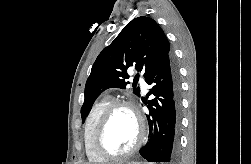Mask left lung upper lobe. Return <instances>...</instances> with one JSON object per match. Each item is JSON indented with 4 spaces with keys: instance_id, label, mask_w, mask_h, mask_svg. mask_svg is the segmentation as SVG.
Returning <instances> with one entry per match:
<instances>
[{
    "instance_id": "obj_1",
    "label": "left lung upper lobe",
    "mask_w": 251,
    "mask_h": 164,
    "mask_svg": "<svg viewBox=\"0 0 251 164\" xmlns=\"http://www.w3.org/2000/svg\"><path fill=\"white\" fill-rule=\"evenodd\" d=\"M169 56L170 45L160 26L149 17L133 19L94 62L85 85L82 117L88 115L92 104L104 90L126 88L129 82L124 79L129 77L126 73L129 67L134 66L146 79ZM133 87L139 96V88Z\"/></svg>"
}]
</instances>
